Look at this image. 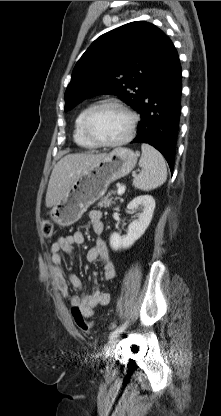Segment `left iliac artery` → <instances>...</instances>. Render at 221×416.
I'll return each mask as SVG.
<instances>
[{"label":"left iliac artery","mask_w":221,"mask_h":416,"mask_svg":"<svg viewBox=\"0 0 221 416\" xmlns=\"http://www.w3.org/2000/svg\"><path fill=\"white\" fill-rule=\"evenodd\" d=\"M126 325L127 324L125 323L122 326H120L117 329H115L113 332L110 333V336L109 337L110 338L117 337L118 334H120L121 332H123V330L126 328Z\"/></svg>","instance_id":"44dca946"}]
</instances>
